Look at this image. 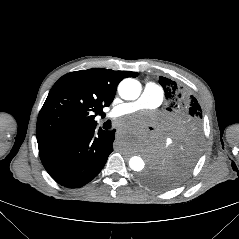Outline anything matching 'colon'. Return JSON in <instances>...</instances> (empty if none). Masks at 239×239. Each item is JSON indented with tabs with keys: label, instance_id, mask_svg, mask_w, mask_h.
Instances as JSON below:
<instances>
[{
	"label": "colon",
	"instance_id": "5ec220e1",
	"mask_svg": "<svg viewBox=\"0 0 239 239\" xmlns=\"http://www.w3.org/2000/svg\"><path fill=\"white\" fill-rule=\"evenodd\" d=\"M196 104L193 102H190V104L188 105V109L191 110L193 108H195Z\"/></svg>",
	"mask_w": 239,
	"mask_h": 239
}]
</instances>
